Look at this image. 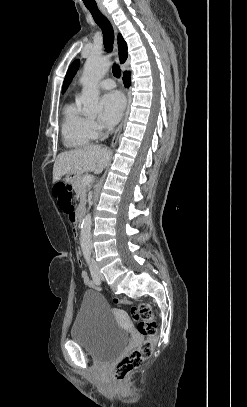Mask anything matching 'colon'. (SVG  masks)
Listing matches in <instances>:
<instances>
[{"label":"colon","mask_w":247,"mask_h":407,"mask_svg":"<svg viewBox=\"0 0 247 407\" xmlns=\"http://www.w3.org/2000/svg\"><path fill=\"white\" fill-rule=\"evenodd\" d=\"M53 193L58 199L60 209L67 216L71 215L74 212L71 186L58 182L53 187ZM114 302L117 304H130V300L126 297H117ZM131 317L138 323V330L146 339L138 348L125 355L116 365L113 377L117 381L124 380L131 372L139 368L151 356L157 341V324L151 304L141 303L132 307Z\"/></svg>","instance_id":"5ec220e1"}]
</instances>
